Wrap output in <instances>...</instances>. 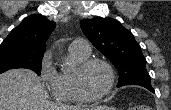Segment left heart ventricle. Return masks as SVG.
<instances>
[{
    "instance_id": "b2bd125f",
    "label": "left heart ventricle",
    "mask_w": 171,
    "mask_h": 110,
    "mask_svg": "<svg viewBox=\"0 0 171 110\" xmlns=\"http://www.w3.org/2000/svg\"><path fill=\"white\" fill-rule=\"evenodd\" d=\"M109 84V73L100 64L89 67L82 76V87L91 96L102 93Z\"/></svg>"
}]
</instances>
